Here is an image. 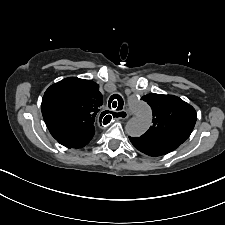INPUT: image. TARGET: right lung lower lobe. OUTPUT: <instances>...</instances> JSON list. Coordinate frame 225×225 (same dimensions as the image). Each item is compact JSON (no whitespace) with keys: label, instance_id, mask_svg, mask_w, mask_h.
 Listing matches in <instances>:
<instances>
[{"label":"right lung lower lobe","instance_id":"right-lung-lower-lobe-1","mask_svg":"<svg viewBox=\"0 0 225 225\" xmlns=\"http://www.w3.org/2000/svg\"><path fill=\"white\" fill-rule=\"evenodd\" d=\"M51 135L63 146L68 149H78L90 142L94 133L86 130H76L73 128H48Z\"/></svg>","mask_w":225,"mask_h":225}]
</instances>
